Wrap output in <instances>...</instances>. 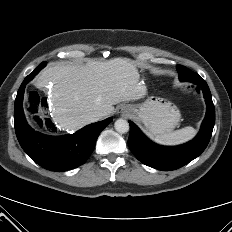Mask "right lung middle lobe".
<instances>
[{
	"mask_svg": "<svg viewBox=\"0 0 232 232\" xmlns=\"http://www.w3.org/2000/svg\"><path fill=\"white\" fill-rule=\"evenodd\" d=\"M45 64H46V62L41 63L42 66H44Z\"/></svg>",
	"mask_w": 232,
	"mask_h": 232,
	"instance_id": "obj_1",
	"label": "right lung middle lobe"
}]
</instances>
